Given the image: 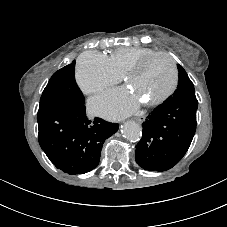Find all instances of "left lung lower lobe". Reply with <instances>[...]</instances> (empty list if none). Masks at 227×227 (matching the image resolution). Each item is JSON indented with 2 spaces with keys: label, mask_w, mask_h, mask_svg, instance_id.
Listing matches in <instances>:
<instances>
[{
  "label": "left lung lower lobe",
  "mask_w": 227,
  "mask_h": 227,
  "mask_svg": "<svg viewBox=\"0 0 227 227\" xmlns=\"http://www.w3.org/2000/svg\"><path fill=\"white\" fill-rule=\"evenodd\" d=\"M196 98H168L143 122L136 162L148 171H165L187 152L196 131Z\"/></svg>",
  "instance_id": "1"
}]
</instances>
